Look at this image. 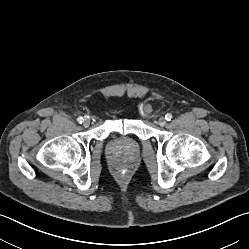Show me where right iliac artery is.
Returning a JSON list of instances; mask_svg holds the SVG:
<instances>
[{
  "instance_id": "obj_1",
  "label": "right iliac artery",
  "mask_w": 249,
  "mask_h": 249,
  "mask_svg": "<svg viewBox=\"0 0 249 249\" xmlns=\"http://www.w3.org/2000/svg\"><path fill=\"white\" fill-rule=\"evenodd\" d=\"M83 121H84L83 117H78V118H77V122H78V123L82 124Z\"/></svg>"
}]
</instances>
